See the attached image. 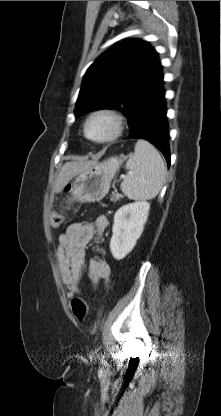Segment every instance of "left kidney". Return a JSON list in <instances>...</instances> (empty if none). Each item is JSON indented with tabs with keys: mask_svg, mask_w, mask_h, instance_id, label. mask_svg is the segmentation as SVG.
Segmentation results:
<instances>
[{
	"mask_svg": "<svg viewBox=\"0 0 221 416\" xmlns=\"http://www.w3.org/2000/svg\"><path fill=\"white\" fill-rule=\"evenodd\" d=\"M150 204L146 201L129 203L120 207L114 215L110 250L121 260L129 254L140 238L148 219Z\"/></svg>",
	"mask_w": 221,
	"mask_h": 416,
	"instance_id": "left-kidney-1",
	"label": "left kidney"
}]
</instances>
